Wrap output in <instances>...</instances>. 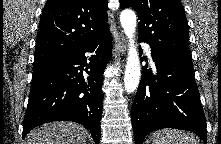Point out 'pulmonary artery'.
<instances>
[{
  "label": "pulmonary artery",
  "instance_id": "pulmonary-artery-1",
  "mask_svg": "<svg viewBox=\"0 0 221 144\" xmlns=\"http://www.w3.org/2000/svg\"><path fill=\"white\" fill-rule=\"evenodd\" d=\"M146 54L148 55V57L150 58V60L152 59V56H151V48L148 44H143L142 45Z\"/></svg>",
  "mask_w": 221,
  "mask_h": 144
}]
</instances>
